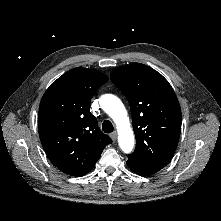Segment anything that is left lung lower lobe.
I'll use <instances>...</instances> for the list:
<instances>
[{
	"instance_id": "obj_1",
	"label": "left lung lower lobe",
	"mask_w": 221,
	"mask_h": 221,
	"mask_svg": "<svg viewBox=\"0 0 221 221\" xmlns=\"http://www.w3.org/2000/svg\"><path fill=\"white\" fill-rule=\"evenodd\" d=\"M128 167L135 173L141 175V176H148L151 175L159 170L150 168L142 163H139L133 159L128 158L127 160Z\"/></svg>"
}]
</instances>
